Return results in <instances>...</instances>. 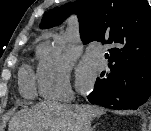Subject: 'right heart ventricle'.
<instances>
[{"label":"right heart ventricle","instance_id":"1","mask_svg":"<svg viewBox=\"0 0 151 131\" xmlns=\"http://www.w3.org/2000/svg\"><path fill=\"white\" fill-rule=\"evenodd\" d=\"M20 92L27 98L35 96L36 86L34 76L29 68H24L20 74Z\"/></svg>","mask_w":151,"mask_h":131}]
</instances>
